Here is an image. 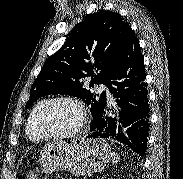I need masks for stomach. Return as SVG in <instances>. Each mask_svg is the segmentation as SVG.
<instances>
[{"mask_svg":"<svg viewBox=\"0 0 183 179\" xmlns=\"http://www.w3.org/2000/svg\"><path fill=\"white\" fill-rule=\"evenodd\" d=\"M112 156L110 146L103 139L77 138L70 144L55 140L46 144L40 151L37 164L40 170H29L24 179H39V173L45 176L67 170L81 176L103 170Z\"/></svg>","mask_w":183,"mask_h":179,"instance_id":"obj_1","label":"stomach"}]
</instances>
